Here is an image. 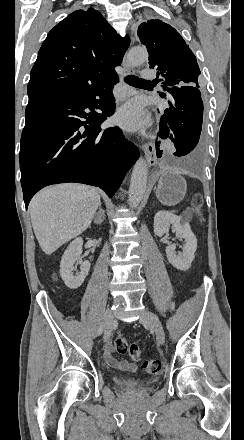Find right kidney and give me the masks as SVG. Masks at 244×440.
Segmentation results:
<instances>
[{
  "instance_id": "ca27d5eb",
  "label": "right kidney",
  "mask_w": 244,
  "mask_h": 440,
  "mask_svg": "<svg viewBox=\"0 0 244 440\" xmlns=\"http://www.w3.org/2000/svg\"><path fill=\"white\" fill-rule=\"evenodd\" d=\"M82 246V238H76V240H73V242L69 244L67 250H65L60 262V276L64 284H66L67 288H70V290L80 288L90 270V262H88V260H85V262L80 260ZM75 262L81 264V268L79 274H75L74 276L73 270H75Z\"/></svg>"
}]
</instances>
